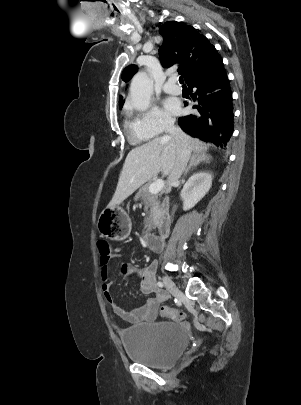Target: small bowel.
Masks as SVG:
<instances>
[{"label": "small bowel", "instance_id": "c3829d8e", "mask_svg": "<svg viewBox=\"0 0 301 405\" xmlns=\"http://www.w3.org/2000/svg\"><path fill=\"white\" fill-rule=\"evenodd\" d=\"M111 258H122V253L119 249H115L108 257H100V276L103 281L102 292L105 300L113 307L115 313L122 319L133 323L150 322L157 318L159 307L167 300V294L159 290L155 285V263H152L144 268L137 269L130 263L122 260L120 264V272L122 276L138 275L140 277L139 288L143 294L154 295L153 298L134 310L127 311L116 305L111 293V285L108 282L109 261Z\"/></svg>", "mask_w": 301, "mask_h": 405}]
</instances>
